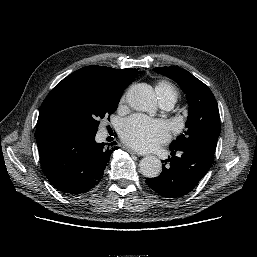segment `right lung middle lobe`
I'll use <instances>...</instances> for the list:
<instances>
[{"label":"right lung middle lobe","mask_w":257,"mask_h":257,"mask_svg":"<svg viewBox=\"0 0 257 257\" xmlns=\"http://www.w3.org/2000/svg\"><path fill=\"white\" fill-rule=\"evenodd\" d=\"M139 73L138 69H130V80ZM122 93L102 89L87 80L72 82L60 96L59 114L69 131L96 134L99 120L116 111Z\"/></svg>","instance_id":"dd1d6c3e"}]
</instances>
